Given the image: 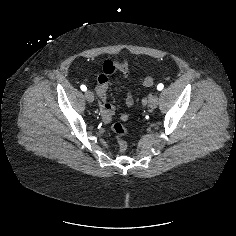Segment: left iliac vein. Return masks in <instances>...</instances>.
<instances>
[{
  "label": "left iliac vein",
  "instance_id": "1",
  "mask_svg": "<svg viewBox=\"0 0 236 236\" xmlns=\"http://www.w3.org/2000/svg\"><path fill=\"white\" fill-rule=\"evenodd\" d=\"M159 97L157 94H153L149 97V107L155 109L158 105Z\"/></svg>",
  "mask_w": 236,
  "mask_h": 236
}]
</instances>
